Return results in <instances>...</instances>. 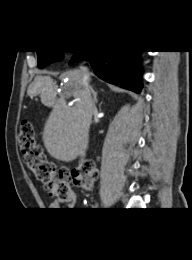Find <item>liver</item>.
I'll list each match as a JSON object with an SVG mask.
<instances>
[{"label": "liver", "mask_w": 192, "mask_h": 260, "mask_svg": "<svg viewBox=\"0 0 192 260\" xmlns=\"http://www.w3.org/2000/svg\"><path fill=\"white\" fill-rule=\"evenodd\" d=\"M59 78L66 80L60 98H57L56 83L49 75H37L28 89V95L40 94L44 101L54 102L44 126L43 143L52 157L70 162L83 155L88 148L93 102L87 95L82 70L66 71ZM67 96L77 99L74 107L67 106Z\"/></svg>", "instance_id": "6515ba94"}]
</instances>
